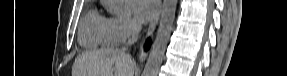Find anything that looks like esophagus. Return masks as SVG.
<instances>
[{
  "instance_id": "obj_1",
  "label": "esophagus",
  "mask_w": 287,
  "mask_h": 76,
  "mask_svg": "<svg viewBox=\"0 0 287 76\" xmlns=\"http://www.w3.org/2000/svg\"><path fill=\"white\" fill-rule=\"evenodd\" d=\"M161 12H162V1H161V0H158V1H157V12H156V15H155V17L153 18V20H152V22L150 23V25H149V28H148L147 35H146V36H150V35L154 32V30H155V28H156V26H157V24H158V21H159Z\"/></svg>"
}]
</instances>
